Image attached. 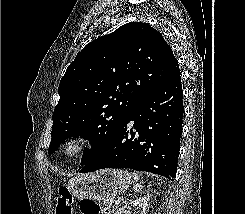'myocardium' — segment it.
I'll list each match as a JSON object with an SVG mask.
<instances>
[{"label": "myocardium", "instance_id": "obj_1", "mask_svg": "<svg viewBox=\"0 0 245 214\" xmlns=\"http://www.w3.org/2000/svg\"><path fill=\"white\" fill-rule=\"evenodd\" d=\"M94 145V140L86 134H76L66 139L61 147L60 152L64 156H76L82 154Z\"/></svg>", "mask_w": 245, "mask_h": 214}]
</instances>
